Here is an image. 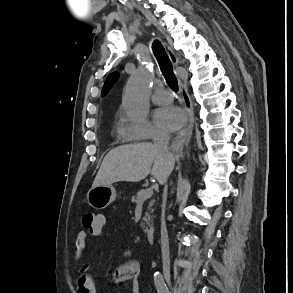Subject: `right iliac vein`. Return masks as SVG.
<instances>
[{"label":"right iliac vein","mask_w":293,"mask_h":293,"mask_svg":"<svg viewBox=\"0 0 293 293\" xmlns=\"http://www.w3.org/2000/svg\"><path fill=\"white\" fill-rule=\"evenodd\" d=\"M166 280L169 283V276L168 275H166Z\"/></svg>","instance_id":"right-iliac-vein-1"}]
</instances>
